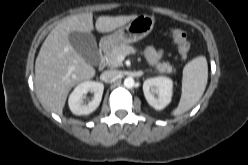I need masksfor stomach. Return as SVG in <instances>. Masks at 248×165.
I'll return each mask as SVG.
<instances>
[{"instance_id":"stomach-1","label":"stomach","mask_w":248,"mask_h":165,"mask_svg":"<svg viewBox=\"0 0 248 165\" xmlns=\"http://www.w3.org/2000/svg\"><path fill=\"white\" fill-rule=\"evenodd\" d=\"M154 27V18L149 15H138L126 25L103 38L111 46L135 43L146 37Z\"/></svg>"}]
</instances>
